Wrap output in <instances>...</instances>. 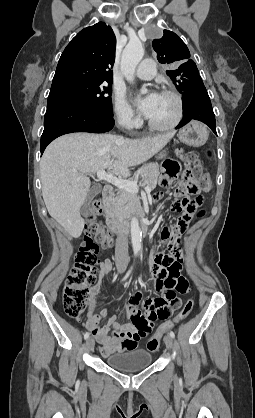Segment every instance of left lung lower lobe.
Listing matches in <instances>:
<instances>
[{"label": "left lung lower lobe", "mask_w": 255, "mask_h": 418, "mask_svg": "<svg viewBox=\"0 0 255 418\" xmlns=\"http://www.w3.org/2000/svg\"><path fill=\"white\" fill-rule=\"evenodd\" d=\"M183 119L176 127L181 128L190 120H199L208 125L216 133L215 115L209 95L204 85L193 88L182 95Z\"/></svg>", "instance_id": "0a47b994"}]
</instances>
